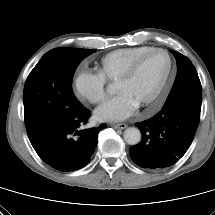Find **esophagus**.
I'll return each mask as SVG.
<instances>
[{"mask_svg":"<svg viewBox=\"0 0 215 215\" xmlns=\"http://www.w3.org/2000/svg\"><path fill=\"white\" fill-rule=\"evenodd\" d=\"M111 126H112L114 129H121V130H123V129H125V128L127 127V125L124 124V123L111 124Z\"/></svg>","mask_w":215,"mask_h":215,"instance_id":"34e87169","label":"esophagus"}]
</instances>
